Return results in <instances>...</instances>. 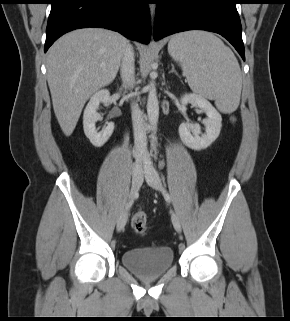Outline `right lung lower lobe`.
I'll return each mask as SVG.
<instances>
[{
	"label": "right lung lower lobe",
	"instance_id": "right-lung-lower-lobe-1",
	"mask_svg": "<svg viewBox=\"0 0 290 321\" xmlns=\"http://www.w3.org/2000/svg\"><path fill=\"white\" fill-rule=\"evenodd\" d=\"M148 0H51L44 51L63 34L78 28L101 27L129 39L149 43Z\"/></svg>",
	"mask_w": 290,
	"mask_h": 321
}]
</instances>
